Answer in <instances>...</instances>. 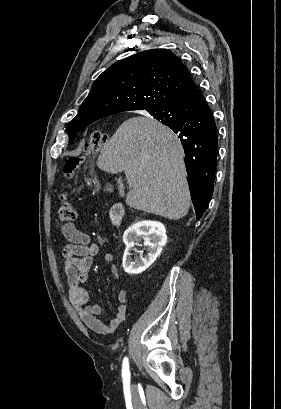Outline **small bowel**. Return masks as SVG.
I'll return each instance as SVG.
<instances>
[{
    "label": "small bowel",
    "instance_id": "small-bowel-1",
    "mask_svg": "<svg viewBox=\"0 0 281 409\" xmlns=\"http://www.w3.org/2000/svg\"><path fill=\"white\" fill-rule=\"evenodd\" d=\"M63 234L69 241L62 250V269L70 302L88 328L99 335H110L126 318L128 294L125 290L117 292L119 304L116 313L109 324H103L97 317L101 314L102 307L99 304H89L90 293L82 287L88 281L89 270L94 256L99 252V246L88 234L79 231L72 224L63 227ZM104 259L117 276L113 255L106 254Z\"/></svg>",
    "mask_w": 281,
    "mask_h": 409
}]
</instances>
